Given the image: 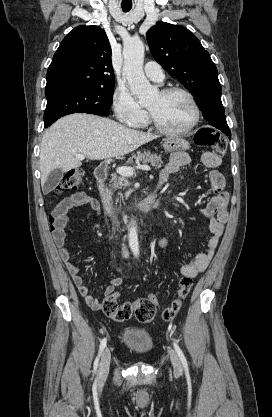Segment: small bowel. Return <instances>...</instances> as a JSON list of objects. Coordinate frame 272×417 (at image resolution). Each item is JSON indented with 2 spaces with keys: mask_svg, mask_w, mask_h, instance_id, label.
<instances>
[{
  "mask_svg": "<svg viewBox=\"0 0 272 417\" xmlns=\"http://www.w3.org/2000/svg\"><path fill=\"white\" fill-rule=\"evenodd\" d=\"M190 163V157L187 153H174L169 162L160 172V182L163 184L168 181L169 177L177 173L181 167ZM201 166L209 168L208 179L212 191V197L207 205L201 208L200 213L209 220L210 237L207 241V251L198 253L193 256L180 269L183 276L194 278L202 273L210 264L220 240L224 234L225 224L228 220V194L224 191L225 177L217 168L222 165V159L215 153L205 152L199 158ZM88 206L93 211H100L99 201L85 192H76L63 198L54 209L55 232L54 240L59 247V256L71 276L73 283L77 287L79 293L84 298L88 306L95 310H101L103 299L94 297L90 294L89 287L84 283L79 267L70 261V249L65 243L64 227L68 221L69 213L78 207ZM122 283V278L117 276L108 281L105 287L104 296L107 298L112 295L116 288Z\"/></svg>",
  "mask_w": 272,
  "mask_h": 417,
  "instance_id": "1",
  "label": "small bowel"
}]
</instances>
